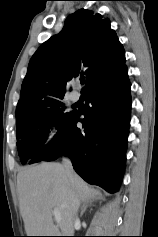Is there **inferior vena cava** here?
<instances>
[{
  "label": "inferior vena cava",
  "instance_id": "602c4592",
  "mask_svg": "<svg viewBox=\"0 0 158 237\" xmlns=\"http://www.w3.org/2000/svg\"><path fill=\"white\" fill-rule=\"evenodd\" d=\"M63 166L65 167L67 173L69 174V176L71 177L72 176V173H73V167H72V163L70 161L69 158H64L63 159ZM76 212H77V208H76ZM77 219V217H76Z\"/></svg>",
  "mask_w": 158,
  "mask_h": 237
}]
</instances>
